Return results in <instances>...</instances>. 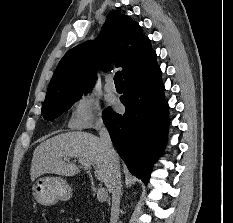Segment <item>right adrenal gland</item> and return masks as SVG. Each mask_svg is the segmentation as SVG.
<instances>
[{
    "label": "right adrenal gland",
    "instance_id": "2a0ac1e0",
    "mask_svg": "<svg viewBox=\"0 0 233 223\" xmlns=\"http://www.w3.org/2000/svg\"><path fill=\"white\" fill-rule=\"evenodd\" d=\"M121 195H123V189H122V191H121Z\"/></svg>",
    "mask_w": 233,
    "mask_h": 223
}]
</instances>
